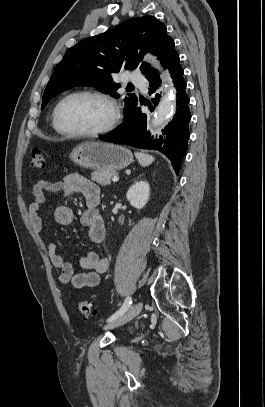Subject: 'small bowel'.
I'll list each match as a JSON object with an SVG mask.
<instances>
[{
	"label": "small bowel",
	"mask_w": 265,
	"mask_h": 407,
	"mask_svg": "<svg viewBox=\"0 0 265 407\" xmlns=\"http://www.w3.org/2000/svg\"><path fill=\"white\" fill-rule=\"evenodd\" d=\"M74 192L82 194L86 200L87 208L83 211L80 221L87 230L88 238L94 243L102 242L105 238V225L99 211L92 205L94 200L100 199V190L97 184L79 173H69L58 182L39 180L34 184V201L29 206L33 229L38 234L43 231V220L39 211L46 201V193L66 196ZM54 217L60 224H70L74 215L70 207L59 205L55 209ZM48 255L53 266L60 271L59 280L64 284L70 283L77 289L97 286L100 275L108 270V260L93 251L78 258L79 266L86 270L79 273L74 272L72 261L61 256L53 241L48 243Z\"/></svg>",
	"instance_id": "c3829d8e"
}]
</instances>
